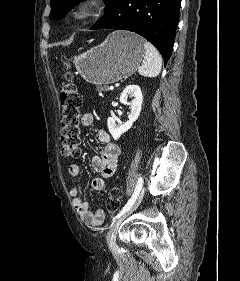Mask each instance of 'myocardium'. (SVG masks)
<instances>
[{
	"label": "myocardium",
	"mask_w": 240,
	"mask_h": 281,
	"mask_svg": "<svg viewBox=\"0 0 240 281\" xmlns=\"http://www.w3.org/2000/svg\"><path fill=\"white\" fill-rule=\"evenodd\" d=\"M100 8V0H79L73 5L69 18L73 22H84L94 17Z\"/></svg>",
	"instance_id": "obj_1"
}]
</instances>
